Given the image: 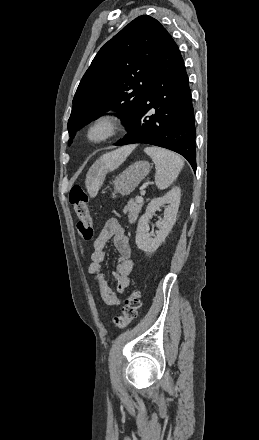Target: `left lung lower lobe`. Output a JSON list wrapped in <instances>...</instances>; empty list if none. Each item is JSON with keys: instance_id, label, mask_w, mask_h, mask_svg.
Here are the masks:
<instances>
[{"instance_id": "left-lung-lower-lobe-1", "label": "left lung lower lobe", "mask_w": 259, "mask_h": 440, "mask_svg": "<svg viewBox=\"0 0 259 440\" xmlns=\"http://www.w3.org/2000/svg\"><path fill=\"white\" fill-rule=\"evenodd\" d=\"M155 113L150 115V110ZM146 143L175 151L196 170L195 123L188 76L180 51L169 35L141 107L128 133L115 145Z\"/></svg>"}]
</instances>
